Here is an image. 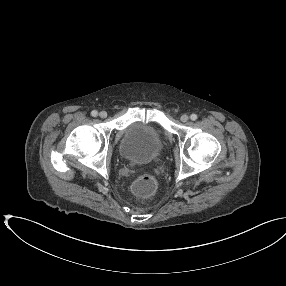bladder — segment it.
Returning <instances> with one entry per match:
<instances>
[{
  "label": "bladder",
  "mask_w": 286,
  "mask_h": 286,
  "mask_svg": "<svg viewBox=\"0 0 286 286\" xmlns=\"http://www.w3.org/2000/svg\"><path fill=\"white\" fill-rule=\"evenodd\" d=\"M163 146V137L156 125L133 124L126 129L119 143V153L128 162L143 165L157 160Z\"/></svg>",
  "instance_id": "31cf9c89"
}]
</instances>
